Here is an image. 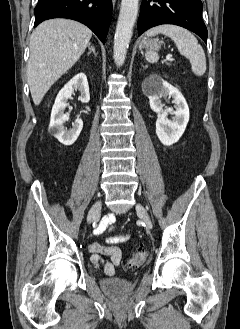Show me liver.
<instances>
[{
	"instance_id": "6515ba94",
	"label": "liver",
	"mask_w": 240,
	"mask_h": 329,
	"mask_svg": "<svg viewBox=\"0 0 240 329\" xmlns=\"http://www.w3.org/2000/svg\"><path fill=\"white\" fill-rule=\"evenodd\" d=\"M92 32L73 20L52 19L41 23L30 38L28 84L35 105L50 87L79 60Z\"/></svg>"
}]
</instances>
